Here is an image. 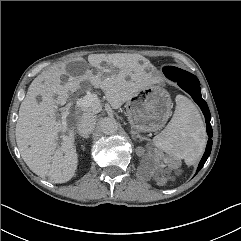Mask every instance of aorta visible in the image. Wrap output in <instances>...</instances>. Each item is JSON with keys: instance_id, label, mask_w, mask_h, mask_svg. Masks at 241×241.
<instances>
[{"instance_id": "obj_1", "label": "aorta", "mask_w": 241, "mask_h": 241, "mask_svg": "<svg viewBox=\"0 0 241 241\" xmlns=\"http://www.w3.org/2000/svg\"><path fill=\"white\" fill-rule=\"evenodd\" d=\"M101 131L106 135L115 134L118 130V123L112 117H105L100 121Z\"/></svg>"}]
</instances>
